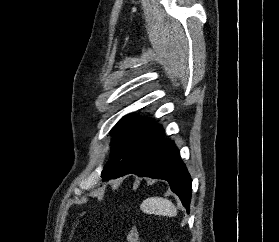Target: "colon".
<instances>
[{
    "label": "colon",
    "mask_w": 279,
    "mask_h": 242,
    "mask_svg": "<svg viewBox=\"0 0 279 242\" xmlns=\"http://www.w3.org/2000/svg\"><path fill=\"white\" fill-rule=\"evenodd\" d=\"M127 242H141L139 232L136 228L132 227L126 234Z\"/></svg>",
    "instance_id": "obj_1"
}]
</instances>
